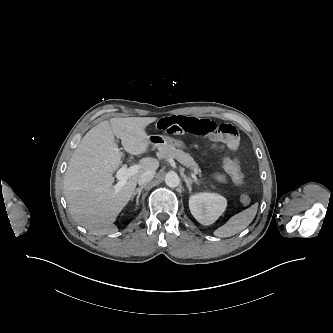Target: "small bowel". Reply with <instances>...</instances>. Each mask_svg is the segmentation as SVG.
<instances>
[{"instance_id": "c3829d8e", "label": "small bowel", "mask_w": 333, "mask_h": 333, "mask_svg": "<svg viewBox=\"0 0 333 333\" xmlns=\"http://www.w3.org/2000/svg\"><path fill=\"white\" fill-rule=\"evenodd\" d=\"M156 129L171 135L192 134L208 138L211 142L221 144L234 152L239 145V136L234 126L228 123L217 124L206 118H195L185 115H172L160 118L155 123ZM240 165L239 160L234 158ZM218 181L224 182L226 174L219 173L216 176Z\"/></svg>"}]
</instances>
